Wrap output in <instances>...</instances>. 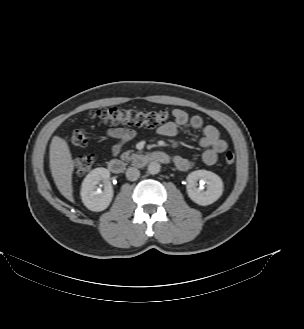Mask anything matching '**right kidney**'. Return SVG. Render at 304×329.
<instances>
[{
  "instance_id": "right-kidney-1",
  "label": "right kidney",
  "mask_w": 304,
  "mask_h": 329,
  "mask_svg": "<svg viewBox=\"0 0 304 329\" xmlns=\"http://www.w3.org/2000/svg\"><path fill=\"white\" fill-rule=\"evenodd\" d=\"M110 172L103 167L95 168L83 180L81 185V199L84 205L91 211L105 210L112 198L113 189L109 181ZM102 182L104 190L100 191L97 185Z\"/></svg>"
}]
</instances>
